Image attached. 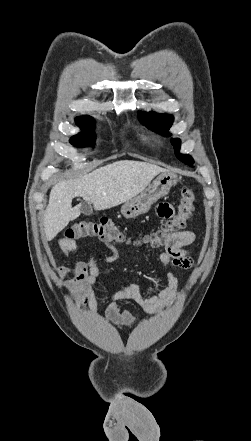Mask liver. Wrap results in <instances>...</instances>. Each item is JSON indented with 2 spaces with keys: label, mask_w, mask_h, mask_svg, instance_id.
Returning <instances> with one entry per match:
<instances>
[{
  "label": "liver",
  "mask_w": 251,
  "mask_h": 441,
  "mask_svg": "<svg viewBox=\"0 0 251 441\" xmlns=\"http://www.w3.org/2000/svg\"><path fill=\"white\" fill-rule=\"evenodd\" d=\"M165 171L147 162L120 160L76 179L56 183L44 214L47 240H52L79 217L80 205L72 208L73 198L82 197L93 204L95 210L109 209L137 196L156 175Z\"/></svg>",
  "instance_id": "1"
}]
</instances>
